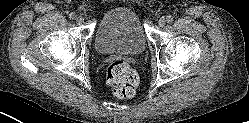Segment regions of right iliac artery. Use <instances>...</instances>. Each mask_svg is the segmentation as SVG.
<instances>
[{
  "label": "right iliac artery",
  "instance_id": "obj_1",
  "mask_svg": "<svg viewBox=\"0 0 249 123\" xmlns=\"http://www.w3.org/2000/svg\"><path fill=\"white\" fill-rule=\"evenodd\" d=\"M76 17H77V15L74 12L70 13V15H69V18L72 20L76 19Z\"/></svg>",
  "mask_w": 249,
  "mask_h": 123
}]
</instances>
